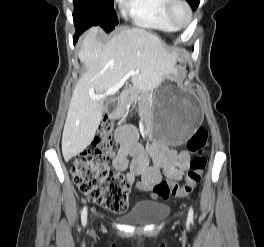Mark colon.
Returning <instances> with one entry per match:
<instances>
[{
  "mask_svg": "<svg viewBox=\"0 0 264 247\" xmlns=\"http://www.w3.org/2000/svg\"><path fill=\"white\" fill-rule=\"evenodd\" d=\"M113 124L105 120L97 130L93 150L77 154L72 164V176L79 191L105 209L123 213L128 208L127 183L122 173L109 166L114 152ZM208 131L199 127L187 142L188 151L195 154L190 161L186 179L182 185L160 181L154 186V194L161 198L189 196L200 182L207 160L204 150Z\"/></svg>",
  "mask_w": 264,
  "mask_h": 247,
  "instance_id": "colon-1",
  "label": "colon"
}]
</instances>
